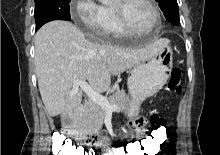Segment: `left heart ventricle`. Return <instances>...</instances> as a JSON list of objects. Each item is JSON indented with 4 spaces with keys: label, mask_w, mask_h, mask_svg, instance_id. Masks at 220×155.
I'll return each instance as SVG.
<instances>
[{
    "label": "left heart ventricle",
    "mask_w": 220,
    "mask_h": 155,
    "mask_svg": "<svg viewBox=\"0 0 220 155\" xmlns=\"http://www.w3.org/2000/svg\"><path fill=\"white\" fill-rule=\"evenodd\" d=\"M119 0L116 5H119ZM125 12L130 24L138 30H146L153 23V16L149 5L144 0H131L126 4Z\"/></svg>",
    "instance_id": "1"
}]
</instances>
